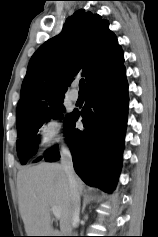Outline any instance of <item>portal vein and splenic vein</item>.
I'll list each match as a JSON object with an SVG mask.
<instances>
[{"instance_id":"obj_1","label":"portal vein and splenic vein","mask_w":158,"mask_h":237,"mask_svg":"<svg viewBox=\"0 0 158 237\" xmlns=\"http://www.w3.org/2000/svg\"><path fill=\"white\" fill-rule=\"evenodd\" d=\"M51 210H52L53 215H54L57 219H59V218H60V211H59V209H58L56 206H52V207H51Z\"/></svg>"}]
</instances>
